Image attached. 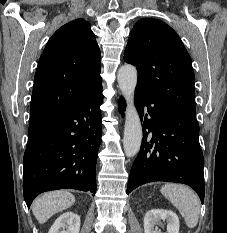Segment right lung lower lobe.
Segmentation results:
<instances>
[{
	"label": "right lung lower lobe",
	"mask_w": 227,
	"mask_h": 233,
	"mask_svg": "<svg viewBox=\"0 0 227 233\" xmlns=\"http://www.w3.org/2000/svg\"><path fill=\"white\" fill-rule=\"evenodd\" d=\"M102 102L101 86L30 124L23 159V191L28 207L37 195L51 190L67 188L95 194Z\"/></svg>",
	"instance_id": "obj_1"
}]
</instances>
